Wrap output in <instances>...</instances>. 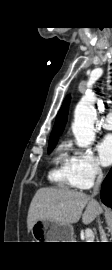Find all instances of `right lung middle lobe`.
Returning <instances> with one entry per match:
<instances>
[{
  "instance_id": "right-lung-middle-lobe-1",
  "label": "right lung middle lobe",
  "mask_w": 112,
  "mask_h": 270,
  "mask_svg": "<svg viewBox=\"0 0 112 270\" xmlns=\"http://www.w3.org/2000/svg\"><path fill=\"white\" fill-rule=\"evenodd\" d=\"M56 143H57V142L49 143V146H48V152H51V151L54 149Z\"/></svg>"
}]
</instances>
